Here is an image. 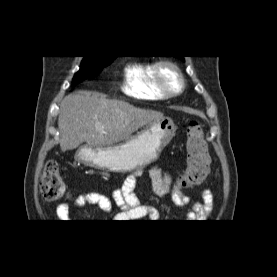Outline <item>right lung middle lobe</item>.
Instances as JSON below:
<instances>
[{
  "mask_svg": "<svg viewBox=\"0 0 277 277\" xmlns=\"http://www.w3.org/2000/svg\"><path fill=\"white\" fill-rule=\"evenodd\" d=\"M113 59L114 58L85 57L81 62L80 70L73 78L74 84L94 77L102 70L103 67L109 65Z\"/></svg>",
  "mask_w": 277,
  "mask_h": 277,
  "instance_id": "1",
  "label": "right lung middle lobe"
}]
</instances>
